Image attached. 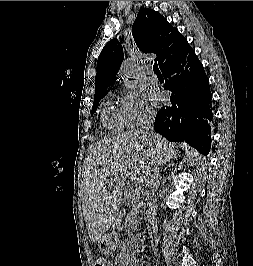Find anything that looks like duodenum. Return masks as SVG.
Masks as SVG:
<instances>
[{
    "label": "duodenum",
    "instance_id": "410a0bca",
    "mask_svg": "<svg viewBox=\"0 0 253 266\" xmlns=\"http://www.w3.org/2000/svg\"><path fill=\"white\" fill-rule=\"evenodd\" d=\"M131 260L129 257H125L123 258V260L121 261V265L122 266H130Z\"/></svg>",
    "mask_w": 253,
    "mask_h": 266
}]
</instances>
